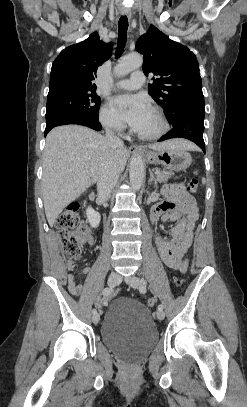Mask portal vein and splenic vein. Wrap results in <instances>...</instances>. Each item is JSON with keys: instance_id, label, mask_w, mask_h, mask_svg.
Masks as SVG:
<instances>
[{"instance_id": "18ae733b", "label": "portal vein and splenic vein", "mask_w": 247, "mask_h": 407, "mask_svg": "<svg viewBox=\"0 0 247 407\" xmlns=\"http://www.w3.org/2000/svg\"><path fill=\"white\" fill-rule=\"evenodd\" d=\"M159 173H160V171H159V170H156V171H155V174H156V175H158Z\"/></svg>"}]
</instances>
